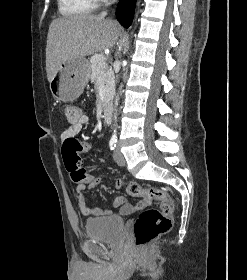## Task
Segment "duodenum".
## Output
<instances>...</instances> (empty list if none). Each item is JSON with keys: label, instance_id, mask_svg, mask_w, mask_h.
<instances>
[{"label": "duodenum", "instance_id": "obj_1", "mask_svg": "<svg viewBox=\"0 0 247 280\" xmlns=\"http://www.w3.org/2000/svg\"><path fill=\"white\" fill-rule=\"evenodd\" d=\"M103 118L105 122L111 121V105L106 103L103 107Z\"/></svg>", "mask_w": 247, "mask_h": 280}]
</instances>
